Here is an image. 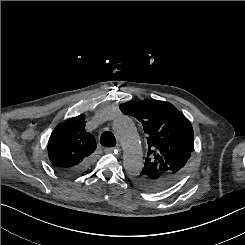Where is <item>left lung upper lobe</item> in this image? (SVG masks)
I'll return each instance as SVG.
<instances>
[{
    "mask_svg": "<svg viewBox=\"0 0 245 245\" xmlns=\"http://www.w3.org/2000/svg\"><path fill=\"white\" fill-rule=\"evenodd\" d=\"M120 110L139 120L147 134L145 164L133 176L134 182L154 191L160 178H178L194 150L190 121L171 103L158 100L128 101L120 105Z\"/></svg>",
    "mask_w": 245,
    "mask_h": 245,
    "instance_id": "1",
    "label": "left lung upper lobe"
}]
</instances>
